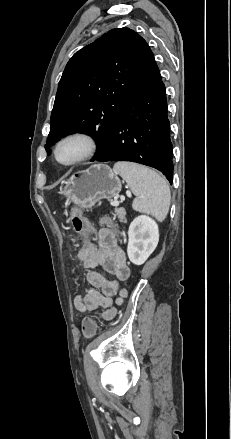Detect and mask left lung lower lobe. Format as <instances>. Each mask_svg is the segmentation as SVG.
<instances>
[{
    "mask_svg": "<svg viewBox=\"0 0 231 439\" xmlns=\"http://www.w3.org/2000/svg\"><path fill=\"white\" fill-rule=\"evenodd\" d=\"M92 161L141 163L161 171L172 184V143L165 85L154 56L126 100L103 149Z\"/></svg>",
    "mask_w": 231,
    "mask_h": 439,
    "instance_id": "1",
    "label": "left lung lower lobe"
}]
</instances>
